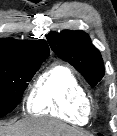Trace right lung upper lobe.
<instances>
[{
    "mask_svg": "<svg viewBox=\"0 0 117 136\" xmlns=\"http://www.w3.org/2000/svg\"><path fill=\"white\" fill-rule=\"evenodd\" d=\"M49 54V47L42 39L38 41L0 39V61L27 63L46 59Z\"/></svg>",
    "mask_w": 117,
    "mask_h": 136,
    "instance_id": "cb5924a9",
    "label": "right lung upper lobe"
}]
</instances>
